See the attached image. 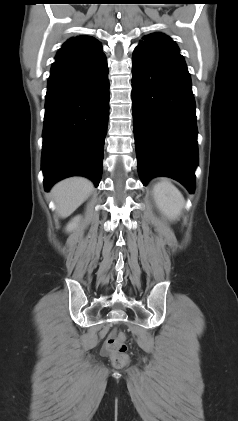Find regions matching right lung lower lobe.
Returning a JSON list of instances; mask_svg holds the SVG:
<instances>
[{
	"label": "right lung lower lobe",
	"instance_id": "obj_1",
	"mask_svg": "<svg viewBox=\"0 0 238 421\" xmlns=\"http://www.w3.org/2000/svg\"><path fill=\"white\" fill-rule=\"evenodd\" d=\"M43 129L45 190L81 175L98 186L109 115L105 54L57 59L48 79Z\"/></svg>",
	"mask_w": 238,
	"mask_h": 421
}]
</instances>
